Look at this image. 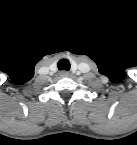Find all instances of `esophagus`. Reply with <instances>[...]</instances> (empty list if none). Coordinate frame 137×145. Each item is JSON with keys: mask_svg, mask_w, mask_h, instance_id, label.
<instances>
[{"mask_svg": "<svg viewBox=\"0 0 137 145\" xmlns=\"http://www.w3.org/2000/svg\"><path fill=\"white\" fill-rule=\"evenodd\" d=\"M59 75H60V77H68L70 74H69V72H67V71H61V72L59 73Z\"/></svg>", "mask_w": 137, "mask_h": 145, "instance_id": "34e87169", "label": "esophagus"}]
</instances>
